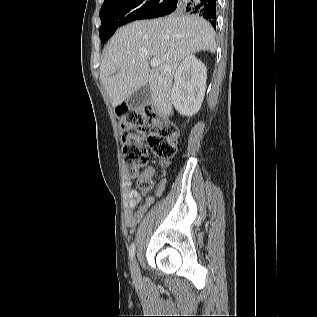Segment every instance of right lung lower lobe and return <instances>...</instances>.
Masks as SVG:
<instances>
[{
	"label": "right lung lower lobe",
	"instance_id": "right-lung-lower-lobe-1",
	"mask_svg": "<svg viewBox=\"0 0 317 317\" xmlns=\"http://www.w3.org/2000/svg\"><path fill=\"white\" fill-rule=\"evenodd\" d=\"M180 1L181 0H171L164 7V10L167 7H170L171 5H175V3H179ZM184 1H185L184 10L191 13H198L199 15L207 19L214 28H216V1L217 0H184Z\"/></svg>",
	"mask_w": 317,
	"mask_h": 317
}]
</instances>
